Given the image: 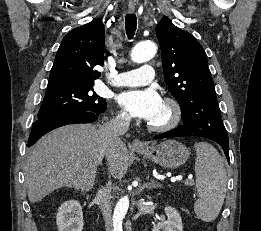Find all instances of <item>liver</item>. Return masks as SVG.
<instances>
[{
	"label": "liver",
	"instance_id": "1",
	"mask_svg": "<svg viewBox=\"0 0 261 231\" xmlns=\"http://www.w3.org/2000/svg\"><path fill=\"white\" fill-rule=\"evenodd\" d=\"M104 157L100 129L92 124L67 125L46 134L31 149L24 167L30 202H38L61 187L91 190ZM129 161L122 142L107 160L109 172L117 179L123 178Z\"/></svg>",
	"mask_w": 261,
	"mask_h": 231
}]
</instances>
